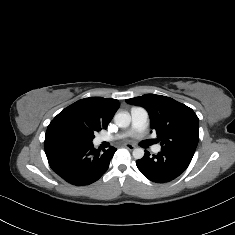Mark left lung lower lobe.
<instances>
[{"mask_svg": "<svg viewBox=\"0 0 235 235\" xmlns=\"http://www.w3.org/2000/svg\"><path fill=\"white\" fill-rule=\"evenodd\" d=\"M192 157L161 149L157 155H150L145 151L142 159L136 161L138 169L151 181L163 183L168 182L181 173L189 166Z\"/></svg>", "mask_w": 235, "mask_h": 235, "instance_id": "left-lung-lower-lobe-1", "label": "left lung lower lobe"}]
</instances>
